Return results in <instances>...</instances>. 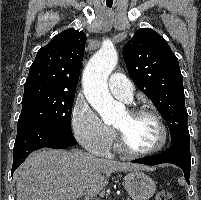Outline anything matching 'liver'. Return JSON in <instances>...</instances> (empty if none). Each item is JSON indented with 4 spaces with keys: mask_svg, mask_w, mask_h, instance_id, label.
Masks as SVG:
<instances>
[{
    "mask_svg": "<svg viewBox=\"0 0 201 200\" xmlns=\"http://www.w3.org/2000/svg\"><path fill=\"white\" fill-rule=\"evenodd\" d=\"M148 169L100 159L79 150L44 148L33 152L15 173L17 200H86L97 195L113 172Z\"/></svg>",
    "mask_w": 201,
    "mask_h": 200,
    "instance_id": "obj_1",
    "label": "liver"
}]
</instances>
